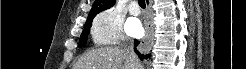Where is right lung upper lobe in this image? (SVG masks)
<instances>
[{"mask_svg": "<svg viewBox=\"0 0 246 69\" xmlns=\"http://www.w3.org/2000/svg\"><path fill=\"white\" fill-rule=\"evenodd\" d=\"M114 3L115 0H95L86 22L92 21L99 12L111 8Z\"/></svg>", "mask_w": 246, "mask_h": 69, "instance_id": "1", "label": "right lung upper lobe"}]
</instances>
